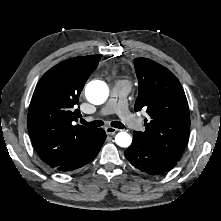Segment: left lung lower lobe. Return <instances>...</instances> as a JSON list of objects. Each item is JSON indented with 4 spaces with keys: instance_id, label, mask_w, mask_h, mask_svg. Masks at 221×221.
<instances>
[{
    "instance_id": "obj_1",
    "label": "left lung lower lobe",
    "mask_w": 221,
    "mask_h": 221,
    "mask_svg": "<svg viewBox=\"0 0 221 221\" xmlns=\"http://www.w3.org/2000/svg\"><path fill=\"white\" fill-rule=\"evenodd\" d=\"M128 161L138 170L149 175H161L171 170L177 160L145 143L138 135L133 136L132 144L124 152Z\"/></svg>"
}]
</instances>
